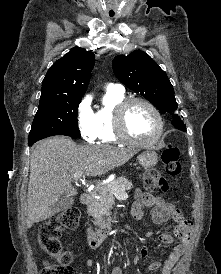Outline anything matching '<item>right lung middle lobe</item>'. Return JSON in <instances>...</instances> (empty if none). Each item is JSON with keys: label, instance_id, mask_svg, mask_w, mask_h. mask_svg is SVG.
<instances>
[{"label": "right lung middle lobe", "instance_id": "right-lung-middle-lobe-1", "mask_svg": "<svg viewBox=\"0 0 221 274\" xmlns=\"http://www.w3.org/2000/svg\"><path fill=\"white\" fill-rule=\"evenodd\" d=\"M81 99H40L29 133V144L53 135L79 138L77 113Z\"/></svg>", "mask_w": 221, "mask_h": 274}]
</instances>
